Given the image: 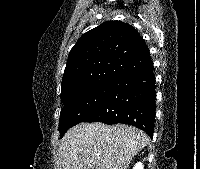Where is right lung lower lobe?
<instances>
[{
  "mask_svg": "<svg viewBox=\"0 0 200 169\" xmlns=\"http://www.w3.org/2000/svg\"><path fill=\"white\" fill-rule=\"evenodd\" d=\"M155 96L152 65L143 71L118 79L102 104L82 122L129 124L152 137L156 111Z\"/></svg>",
  "mask_w": 200,
  "mask_h": 169,
  "instance_id": "98d812e1",
  "label": "right lung lower lobe"
}]
</instances>
